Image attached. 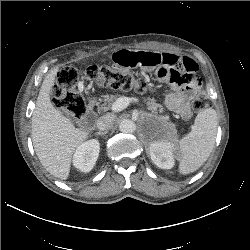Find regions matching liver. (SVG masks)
Instances as JSON below:
<instances>
[{
    "instance_id": "liver-1",
    "label": "liver",
    "mask_w": 250,
    "mask_h": 250,
    "mask_svg": "<svg viewBox=\"0 0 250 250\" xmlns=\"http://www.w3.org/2000/svg\"><path fill=\"white\" fill-rule=\"evenodd\" d=\"M58 67L53 68L42 83L32 114V142L37 157L54 177L66 180L75 149L88 138V131L76 128L51 103L50 91L56 81Z\"/></svg>"
}]
</instances>
